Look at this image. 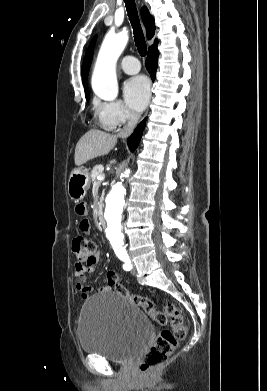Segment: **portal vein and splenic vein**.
<instances>
[{"label": "portal vein and splenic vein", "instance_id": "portal-vein-and-splenic-vein-1", "mask_svg": "<svg viewBox=\"0 0 267 391\" xmlns=\"http://www.w3.org/2000/svg\"><path fill=\"white\" fill-rule=\"evenodd\" d=\"M104 178H105V175H104V174L99 175V176L97 177L98 180H104Z\"/></svg>", "mask_w": 267, "mask_h": 391}]
</instances>
